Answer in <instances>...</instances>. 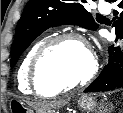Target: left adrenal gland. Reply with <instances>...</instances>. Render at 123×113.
<instances>
[{"label":"left adrenal gland","instance_id":"obj_1","mask_svg":"<svg viewBox=\"0 0 123 113\" xmlns=\"http://www.w3.org/2000/svg\"><path fill=\"white\" fill-rule=\"evenodd\" d=\"M113 107V106H112ZM111 107V108H112ZM100 111H98V113H107L108 112V110L107 109H104V111H102L101 109H99Z\"/></svg>","mask_w":123,"mask_h":113}]
</instances>
